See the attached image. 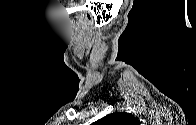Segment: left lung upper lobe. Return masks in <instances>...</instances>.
Here are the masks:
<instances>
[{
    "instance_id": "left-lung-upper-lobe-1",
    "label": "left lung upper lobe",
    "mask_w": 196,
    "mask_h": 125,
    "mask_svg": "<svg viewBox=\"0 0 196 125\" xmlns=\"http://www.w3.org/2000/svg\"><path fill=\"white\" fill-rule=\"evenodd\" d=\"M97 125H136L138 121L135 117L123 112H115L97 120Z\"/></svg>"
}]
</instances>
